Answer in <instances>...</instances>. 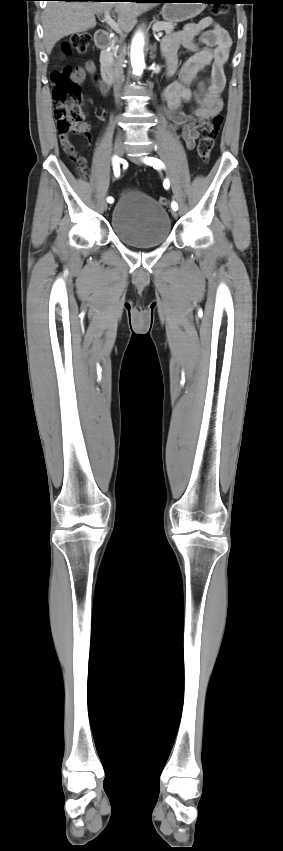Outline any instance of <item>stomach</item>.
<instances>
[{"instance_id": "0dacf381", "label": "stomach", "mask_w": 283, "mask_h": 851, "mask_svg": "<svg viewBox=\"0 0 283 851\" xmlns=\"http://www.w3.org/2000/svg\"><path fill=\"white\" fill-rule=\"evenodd\" d=\"M162 7V17L167 22H182L200 14L206 7V0H166Z\"/></svg>"}]
</instances>
